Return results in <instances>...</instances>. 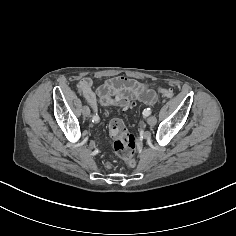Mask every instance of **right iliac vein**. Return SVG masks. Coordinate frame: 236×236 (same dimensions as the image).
<instances>
[{
    "mask_svg": "<svg viewBox=\"0 0 236 236\" xmlns=\"http://www.w3.org/2000/svg\"><path fill=\"white\" fill-rule=\"evenodd\" d=\"M82 114H83L84 116H86V117H88V116L90 115V109H89L88 106L84 105V106L82 107Z\"/></svg>",
    "mask_w": 236,
    "mask_h": 236,
    "instance_id": "1",
    "label": "right iliac vein"
}]
</instances>
